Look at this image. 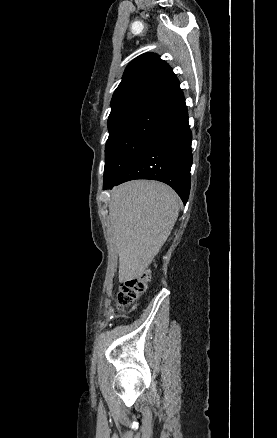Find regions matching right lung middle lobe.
<instances>
[{"label": "right lung middle lobe", "mask_w": 277, "mask_h": 438, "mask_svg": "<svg viewBox=\"0 0 277 438\" xmlns=\"http://www.w3.org/2000/svg\"><path fill=\"white\" fill-rule=\"evenodd\" d=\"M167 111L108 119L109 137L105 147L104 184L115 181L141 150Z\"/></svg>", "instance_id": "dd1d6c3e"}]
</instances>
